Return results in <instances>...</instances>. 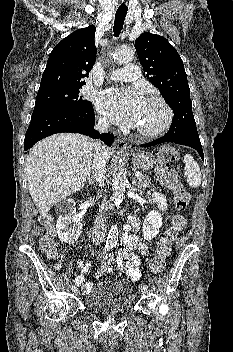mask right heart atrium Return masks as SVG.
I'll return each instance as SVG.
<instances>
[{"mask_svg":"<svg viewBox=\"0 0 233 352\" xmlns=\"http://www.w3.org/2000/svg\"><path fill=\"white\" fill-rule=\"evenodd\" d=\"M100 121L102 122V123H107V120H106V118H104V117H102L101 119H100Z\"/></svg>","mask_w":233,"mask_h":352,"instance_id":"right-heart-atrium-1","label":"right heart atrium"}]
</instances>
